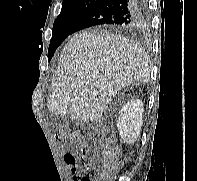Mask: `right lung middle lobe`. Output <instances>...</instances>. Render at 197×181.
<instances>
[{"label": "right lung middle lobe", "instance_id": "obj_1", "mask_svg": "<svg viewBox=\"0 0 197 181\" xmlns=\"http://www.w3.org/2000/svg\"><path fill=\"white\" fill-rule=\"evenodd\" d=\"M90 8V6H78L69 10H62L53 25V33L50 41L48 56L53 57L59 45L70 35L71 30L78 19Z\"/></svg>", "mask_w": 197, "mask_h": 181}]
</instances>
